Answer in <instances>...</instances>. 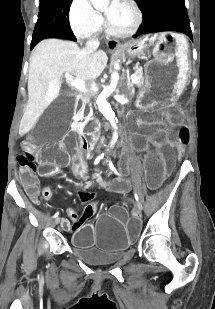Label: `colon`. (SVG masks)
Returning <instances> with one entry per match:
<instances>
[{
  "mask_svg": "<svg viewBox=\"0 0 215 309\" xmlns=\"http://www.w3.org/2000/svg\"><path fill=\"white\" fill-rule=\"evenodd\" d=\"M178 141L182 144H187L189 141V132L188 129L185 126L180 127L178 132ZM42 156V152L39 154L37 153H21L18 156V163L23 168V170H33L35 168V163L37 157ZM40 173L41 174H47V173H53L56 170L55 161L50 160L47 156L42 157L40 161ZM42 196L45 199H48L52 196V191L50 187H45L42 191ZM97 213V203L95 201H92L89 203L85 209H84V215L88 218H91L95 216Z\"/></svg>",
  "mask_w": 215,
  "mask_h": 309,
  "instance_id": "obj_1",
  "label": "colon"
}]
</instances>
